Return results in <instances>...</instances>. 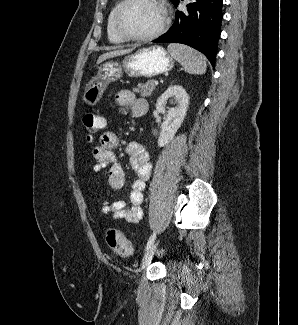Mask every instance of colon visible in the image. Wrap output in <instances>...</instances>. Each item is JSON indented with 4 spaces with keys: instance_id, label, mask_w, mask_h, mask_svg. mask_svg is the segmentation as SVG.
Listing matches in <instances>:
<instances>
[{
    "instance_id": "1",
    "label": "colon",
    "mask_w": 298,
    "mask_h": 325,
    "mask_svg": "<svg viewBox=\"0 0 298 325\" xmlns=\"http://www.w3.org/2000/svg\"><path fill=\"white\" fill-rule=\"evenodd\" d=\"M83 124L87 132L88 141H92L94 135L105 126V119L97 111L84 115ZM105 240L109 248L118 256L128 257L132 254V247L125 235L117 229H109Z\"/></svg>"
}]
</instances>
